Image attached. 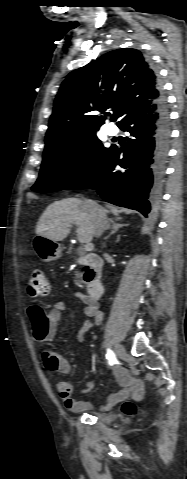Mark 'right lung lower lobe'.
<instances>
[{
  "label": "right lung lower lobe",
  "instance_id": "98d812e1",
  "mask_svg": "<svg viewBox=\"0 0 187 479\" xmlns=\"http://www.w3.org/2000/svg\"><path fill=\"white\" fill-rule=\"evenodd\" d=\"M130 133L120 148L111 147L104 162L77 187L92 188L107 202L147 215L161 195L170 140V118L166 99L138 108L118 125ZM119 165L126 170L116 171Z\"/></svg>",
  "mask_w": 187,
  "mask_h": 479
}]
</instances>
